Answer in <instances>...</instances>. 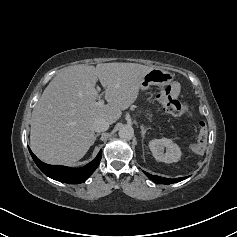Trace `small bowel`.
I'll return each instance as SVG.
<instances>
[{"mask_svg": "<svg viewBox=\"0 0 237 237\" xmlns=\"http://www.w3.org/2000/svg\"><path fill=\"white\" fill-rule=\"evenodd\" d=\"M170 92L173 96H177L178 94V89L175 85H173L171 88H170Z\"/></svg>", "mask_w": 237, "mask_h": 237, "instance_id": "1", "label": "small bowel"}]
</instances>
